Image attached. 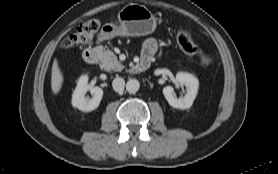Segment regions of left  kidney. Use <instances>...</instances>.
<instances>
[{
  "label": "left kidney",
  "instance_id": "left-kidney-1",
  "mask_svg": "<svg viewBox=\"0 0 278 174\" xmlns=\"http://www.w3.org/2000/svg\"><path fill=\"white\" fill-rule=\"evenodd\" d=\"M176 82L179 86H185L187 93L184 97L177 98L174 94V89L172 86H166L163 88V95L168 101L169 105L178 109L190 108L196 98L199 81L198 79L189 73L178 72L176 75Z\"/></svg>",
  "mask_w": 278,
  "mask_h": 174
}]
</instances>
